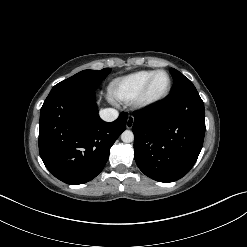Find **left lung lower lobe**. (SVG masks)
I'll list each match as a JSON object with an SVG mask.
<instances>
[{
    "mask_svg": "<svg viewBox=\"0 0 247 247\" xmlns=\"http://www.w3.org/2000/svg\"><path fill=\"white\" fill-rule=\"evenodd\" d=\"M134 157L159 182H173L195 164L205 135L204 103L198 92L170 95L134 113Z\"/></svg>",
    "mask_w": 247,
    "mask_h": 247,
    "instance_id": "0a47b994",
    "label": "left lung lower lobe"
}]
</instances>
